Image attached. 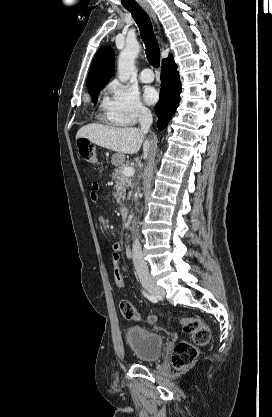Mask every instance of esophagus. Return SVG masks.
<instances>
[{
  "instance_id": "34e87169",
  "label": "esophagus",
  "mask_w": 272,
  "mask_h": 417,
  "mask_svg": "<svg viewBox=\"0 0 272 417\" xmlns=\"http://www.w3.org/2000/svg\"><path fill=\"white\" fill-rule=\"evenodd\" d=\"M142 8L147 12V14L153 19L155 25H156V32L158 34V37L160 38V27L156 18L155 13L151 9V7L147 3L141 4ZM161 39V38H160Z\"/></svg>"
}]
</instances>
